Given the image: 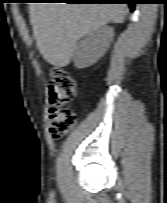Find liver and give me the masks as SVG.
I'll list each match as a JSON object with an SVG mask.
<instances>
[{"label":"liver","mask_w":167,"mask_h":203,"mask_svg":"<svg viewBox=\"0 0 167 203\" xmlns=\"http://www.w3.org/2000/svg\"><path fill=\"white\" fill-rule=\"evenodd\" d=\"M30 17L37 47L55 67L67 66L83 36L107 23H123L125 4L31 3Z\"/></svg>","instance_id":"1"}]
</instances>
